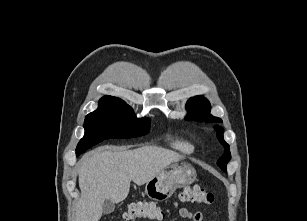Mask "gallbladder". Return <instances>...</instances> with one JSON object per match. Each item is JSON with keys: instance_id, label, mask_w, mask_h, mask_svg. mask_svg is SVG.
<instances>
[{"instance_id": "1", "label": "gallbladder", "mask_w": 307, "mask_h": 221, "mask_svg": "<svg viewBox=\"0 0 307 221\" xmlns=\"http://www.w3.org/2000/svg\"><path fill=\"white\" fill-rule=\"evenodd\" d=\"M115 210V203L110 200H105L102 204V213L110 214Z\"/></svg>"}]
</instances>
